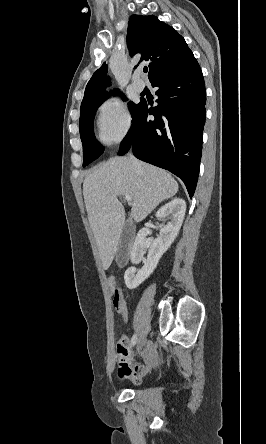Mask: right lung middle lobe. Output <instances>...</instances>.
<instances>
[{
    "label": "right lung middle lobe",
    "mask_w": 266,
    "mask_h": 444,
    "mask_svg": "<svg viewBox=\"0 0 266 444\" xmlns=\"http://www.w3.org/2000/svg\"><path fill=\"white\" fill-rule=\"evenodd\" d=\"M116 94V93H114ZM110 94L102 95L98 98L82 103L80 107L79 130L83 144V167L102 155L104 148L96 141L93 132V121L97 108ZM142 102L135 104L129 102V109L132 118L138 113Z\"/></svg>",
    "instance_id": "right-lung-middle-lobe-1"
}]
</instances>
